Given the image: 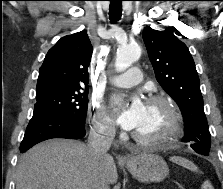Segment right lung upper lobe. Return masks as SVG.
<instances>
[{
  "mask_svg": "<svg viewBox=\"0 0 223 189\" xmlns=\"http://www.w3.org/2000/svg\"><path fill=\"white\" fill-rule=\"evenodd\" d=\"M92 45L86 30L62 37L40 67L36 93L56 89L88 88Z\"/></svg>",
  "mask_w": 223,
  "mask_h": 189,
  "instance_id": "right-lung-upper-lobe-1",
  "label": "right lung upper lobe"
}]
</instances>
